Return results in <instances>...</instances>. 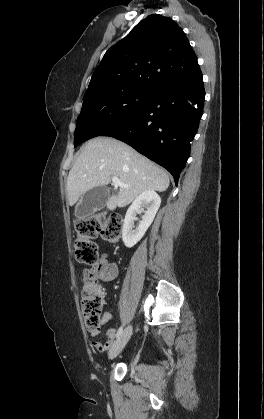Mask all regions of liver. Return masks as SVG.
Segmentation results:
<instances>
[{
	"mask_svg": "<svg viewBox=\"0 0 264 419\" xmlns=\"http://www.w3.org/2000/svg\"><path fill=\"white\" fill-rule=\"evenodd\" d=\"M118 177L128 188L120 187L106 203L109 210L125 207L142 192H164L168 174L127 144L108 137H97L81 149L67 178L68 204L73 206L88 190L104 186Z\"/></svg>",
	"mask_w": 264,
	"mask_h": 419,
	"instance_id": "liver-1",
	"label": "liver"
}]
</instances>
